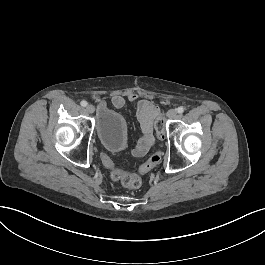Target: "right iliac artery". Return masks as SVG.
Here are the masks:
<instances>
[{"label":"right iliac artery","instance_id":"obj_1","mask_svg":"<svg viewBox=\"0 0 265 265\" xmlns=\"http://www.w3.org/2000/svg\"><path fill=\"white\" fill-rule=\"evenodd\" d=\"M80 104H81V106H83V107H86V105H87V102L83 100V101H81V103H80Z\"/></svg>","mask_w":265,"mask_h":265}]
</instances>
